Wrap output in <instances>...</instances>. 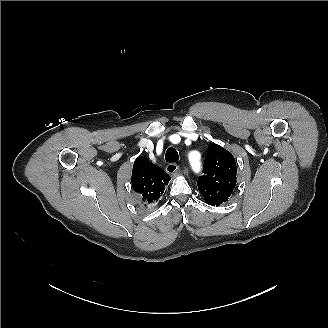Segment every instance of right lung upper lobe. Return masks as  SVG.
Wrapping results in <instances>:
<instances>
[{"mask_svg": "<svg viewBox=\"0 0 328 328\" xmlns=\"http://www.w3.org/2000/svg\"><path fill=\"white\" fill-rule=\"evenodd\" d=\"M170 180L171 177L163 169L149 162L146 157L135 160L131 182L145 204L157 202Z\"/></svg>", "mask_w": 328, "mask_h": 328, "instance_id": "1", "label": "right lung upper lobe"}]
</instances>
